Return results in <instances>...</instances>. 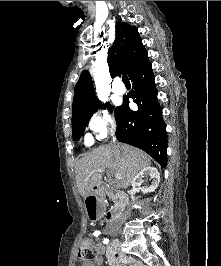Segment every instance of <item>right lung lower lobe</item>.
<instances>
[{
  "mask_svg": "<svg viewBox=\"0 0 221 266\" xmlns=\"http://www.w3.org/2000/svg\"><path fill=\"white\" fill-rule=\"evenodd\" d=\"M129 78L132 91L115 113L117 139L144 150L163 168L167 165L168 140L151 63L147 61L137 67ZM129 98L134 99L138 110L129 108Z\"/></svg>",
  "mask_w": 221,
  "mask_h": 266,
  "instance_id": "1",
  "label": "right lung lower lobe"
}]
</instances>
